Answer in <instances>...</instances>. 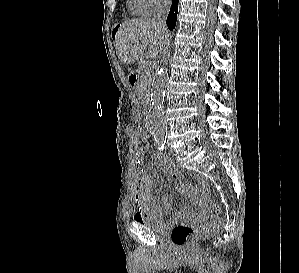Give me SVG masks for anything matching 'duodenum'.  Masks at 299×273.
<instances>
[{"instance_id": "410a0bca", "label": "duodenum", "mask_w": 299, "mask_h": 273, "mask_svg": "<svg viewBox=\"0 0 299 273\" xmlns=\"http://www.w3.org/2000/svg\"><path fill=\"white\" fill-rule=\"evenodd\" d=\"M140 74L139 70H133L130 74V83L132 86H134L136 84V81L138 79V76Z\"/></svg>"}]
</instances>
